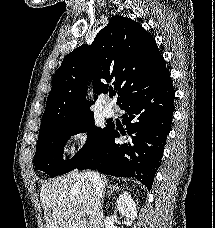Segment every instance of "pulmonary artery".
I'll return each mask as SVG.
<instances>
[{"label": "pulmonary artery", "mask_w": 215, "mask_h": 228, "mask_svg": "<svg viewBox=\"0 0 215 228\" xmlns=\"http://www.w3.org/2000/svg\"><path fill=\"white\" fill-rule=\"evenodd\" d=\"M114 107H113V102L112 100L107 97L106 98V105L104 106V109H103V114L106 116V117H111L114 115Z\"/></svg>", "instance_id": "pulmonary-artery-1"}]
</instances>
